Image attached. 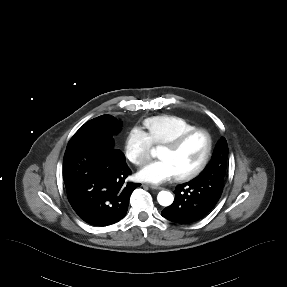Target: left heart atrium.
<instances>
[{
	"label": "left heart atrium",
	"instance_id": "obj_1",
	"mask_svg": "<svg viewBox=\"0 0 287 287\" xmlns=\"http://www.w3.org/2000/svg\"><path fill=\"white\" fill-rule=\"evenodd\" d=\"M137 177L140 181L146 183L161 184L176 177V173L168 161L158 160L141 168L137 173Z\"/></svg>",
	"mask_w": 287,
	"mask_h": 287
}]
</instances>
